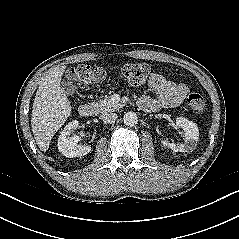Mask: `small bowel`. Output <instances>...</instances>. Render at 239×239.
Returning <instances> with one entry per match:
<instances>
[{
  "label": "small bowel",
  "instance_id": "obj_1",
  "mask_svg": "<svg viewBox=\"0 0 239 239\" xmlns=\"http://www.w3.org/2000/svg\"><path fill=\"white\" fill-rule=\"evenodd\" d=\"M148 84L155 91L156 97L151 98L146 95L141 97L140 105L146 111L176 106L184 100L188 93L186 85L170 81L159 73H152Z\"/></svg>",
  "mask_w": 239,
  "mask_h": 239
}]
</instances>
